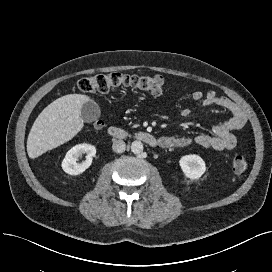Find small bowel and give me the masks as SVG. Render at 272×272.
<instances>
[{
	"instance_id": "obj_1",
	"label": "small bowel",
	"mask_w": 272,
	"mask_h": 272,
	"mask_svg": "<svg viewBox=\"0 0 272 272\" xmlns=\"http://www.w3.org/2000/svg\"><path fill=\"white\" fill-rule=\"evenodd\" d=\"M200 105L223 108L230 114V118L216 125L212 134L202 133L192 137L162 136L159 138V145L162 148H178L191 144L214 150H230L236 147L237 137L234 131L243 128L247 123V116L243 110L231 99L220 96L214 91L203 93L194 90L191 94V105L181 110V116L188 118L192 110Z\"/></svg>"
}]
</instances>
